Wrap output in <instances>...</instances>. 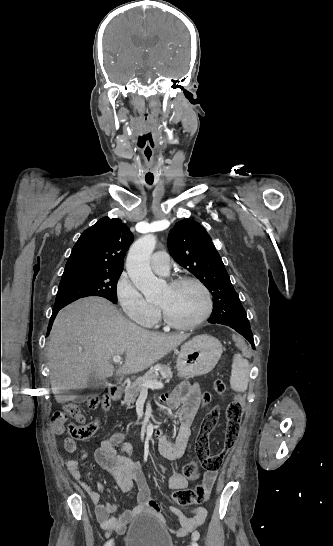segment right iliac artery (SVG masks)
Here are the masks:
<instances>
[{"label": "right iliac artery", "mask_w": 333, "mask_h": 546, "mask_svg": "<svg viewBox=\"0 0 333 546\" xmlns=\"http://www.w3.org/2000/svg\"><path fill=\"white\" fill-rule=\"evenodd\" d=\"M112 545H113V540L111 539V540L107 541L105 546H112Z\"/></svg>", "instance_id": "obj_1"}]
</instances>
